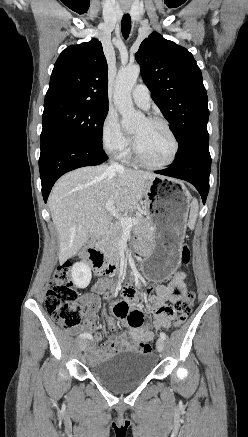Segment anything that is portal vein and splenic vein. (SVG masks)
<instances>
[{
    "label": "portal vein and splenic vein",
    "instance_id": "obj_1",
    "mask_svg": "<svg viewBox=\"0 0 248 437\" xmlns=\"http://www.w3.org/2000/svg\"><path fill=\"white\" fill-rule=\"evenodd\" d=\"M105 208L107 211L110 212V214H112L114 217H116L120 221V224L124 229H130L133 225H135L139 222L138 218H131V217H127V216L124 217V216H121L120 214H118V211L115 208L114 201L112 199H110L106 202Z\"/></svg>",
    "mask_w": 248,
    "mask_h": 437
}]
</instances>
